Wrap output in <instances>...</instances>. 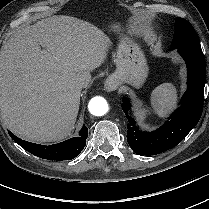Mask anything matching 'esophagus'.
Here are the masks:
<instances>
[{
  "instance_id": "34e87169",
  "label": "esophagus",
  "mask_w": 209,
  "mask_h": 209,
  "mask_svg": "<svg viewBox=\"0 0 209 209\" xmlns=\"http://www.w3.org/2000/svg\"><path fill=\"white\" fill-rule=\"evenodd\" d=\"M104 88L106 91H114L117 89V84L112 78H108L104 83Z\"/></svg>"
}]
</instances>
